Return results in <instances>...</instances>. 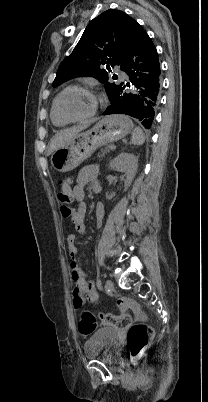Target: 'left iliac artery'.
<instances>
[{
    "label": "left iliac artery",
    "mask_w": 208,
    "mask_h": 402,
    "mask_svg": "<svg viewBox=\"0 0 208 402\" xmlns=\"http://www.w3.org/2000/svg\"><path fill=\"white\" fill-rule=\"evenodd\" d=\"M97 287H98L99 289L102 288V282H101L100 279H97Z\"/></svg>",
    "instance_id": "left-iliac-artery-1"
}]
</instances>
